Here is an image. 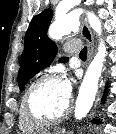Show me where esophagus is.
Instances as JSON below:
<instances>
[{
    "instance_id": "obj_1",
    "label": "esophagus",
    "mask_w": 116,
    "mask_h": 134,
    "mask_svg": "<svg viewBox=\"0 0 116 134\" xmlns=\"http://www.w3.org/2000/svg\"><path fill=\"white\" fill-rule=\"evenodd\" d=\"M81 35L87 41L88 44V62H89L93 57L94 37L91 29L89 28L87 22L84 19H82Z\"/></svg>"
}]
</instances>
